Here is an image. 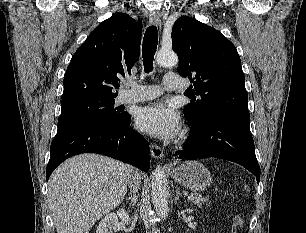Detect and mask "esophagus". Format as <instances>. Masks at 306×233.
Instances as JSON below:
<instances>
[{
    "label": "esophagus",
    "instance_id": "1",
    "mask_svg": "<svg viewBox=\"0 0 306 233\" xmlns=\"http://www.w3.org/2000/svg\"><path fill=\"white\" fill-rule=\"evenodd\" d=\"M149 22L151 25H154L158 28L161 27V19L158 13L154 12L150 15L149 18ZM150 149H151V154L155 159H162L164 154H163V150L160 146L156 145V144H151L150 145Z\"/></svg>",
    "mask_w": 306,
    "mask_h": 233
}]
</instances>
